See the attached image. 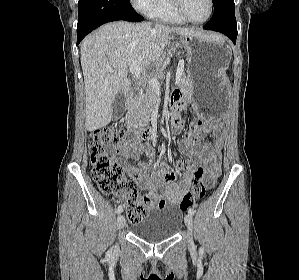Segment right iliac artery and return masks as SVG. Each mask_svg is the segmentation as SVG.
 Masks as SVG:
<instances>
[{
	"instance_id": "82829eb1",
	"label": "right iliac artery",
	"mask_w": 299,
	"mask_h": 280,
	"mask_svg": "<svg viewBox=\"0 0 299 280\" xmlns=\"http://www.w3.org/2000/svg\"><path fill=\"white\" fill-rule=\"evenodd\" d=\"M123 211V207L120 205V206H118V208H117V213L119 214V213H121Z\"/></svg>"
}]
</instances>
